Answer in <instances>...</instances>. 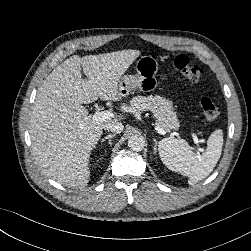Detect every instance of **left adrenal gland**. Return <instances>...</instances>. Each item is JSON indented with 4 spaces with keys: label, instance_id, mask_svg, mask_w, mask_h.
I'll list each match as a JSON object with an SVG mask.
<instances>
[{
    "label": "left adrenal gland",
    "instance_id": "1",
    "mask_svg": "<svg viewBox=\"0 0 251 251\" xmlns=\"http://www.w3.org/2000/svg\"><path fill=\"white\" fill-rule=\"evenodd\" d=\"M154 142H155V146H154V148H153V152H154V154H156V148H157V141L154 139Z\"/></svg>",
    "mask_w": 251,
    "mask_h": 251
}]
</instances>
